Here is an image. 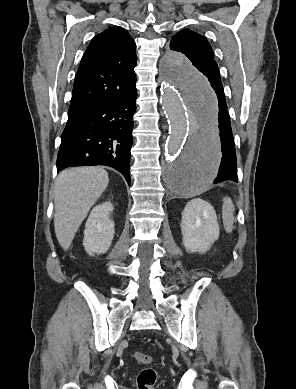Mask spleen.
<instances>
[{
  "label": "spleen",
  "mask_w": 296,
  "mask_h": 389,
  "mask_svg": "<svg viewBox=\"0 0 296 389\" xmlns=\"http://www.w3.org/2000/svg\"><path fill=\"white\" fill-rule=\"evenodd\" d=\"M234 205L232 200L229 197H225L223 199V206H222V219H223V225L227 232H231L233 229V222H234Z\"/></svg>",
  "instance_id": "1"
}]
</instances>
